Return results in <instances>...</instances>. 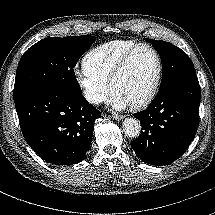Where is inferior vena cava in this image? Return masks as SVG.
<instances>
[{
    "instance_id": "1",
    "label": "inferior vena cava",
    "mask_w": 215,
    "mask_h": 215,
    "mask_svg": "<svg viewBox=\"0 0 215 215\" xmlns=\"http://www.w3.org/2000/svg\"><path fill=\"white\" fill-rule=\"evenodd\" d=\"M85 98L88 102L94 103V104H98L102 102V97L98 93H95L89 90L85 92Z\"/></svg>"
}]
</instances>
